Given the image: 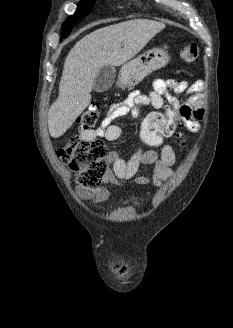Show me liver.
Returning <instances> with one entry per match:
<instances>
[{
    "label": "liver",
    "mask_w": 233,
    "mask_h": 328,
    "mask_svg": "<svg viewBox=\"0 0 233 328\" xmlns=\"http://www.w3.org/2000/svg\"><path fill=\"white\" fill-rule=\"evenodd\" d=\"M164 28L160 22L135 19L97 29L79 40L65 59L59 95L48 111L50 136L61 137L86 109L102 67L126 63Z\"/></svg>",
    "instance_id": "1"
}]
</instances>
